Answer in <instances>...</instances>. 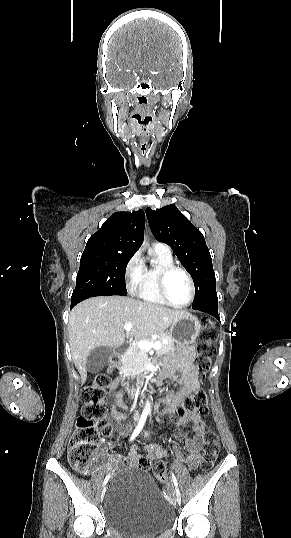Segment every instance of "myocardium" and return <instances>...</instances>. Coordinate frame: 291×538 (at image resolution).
<instances>
[{"instance_id":"obj_1","label":"myocardium","mask_w":291,"mask_h":538,"mask_svg":"<svg viewBox=\"0 0 291 538\" xmlns=\"http://www.w3.org/2000/svg\"><path fill=\"white\" fill-rule=\"evenodd\" d=\"M175 271H179V272H181V273H183L185 275V277L188 280L189 287H190L189 298L185 303H182V304L175 303L174 301H172L170 299L169 295H168V292H167V279H168L169 275L172 274ZM157 284H158V291H159L160 296L163 298V300L168 305H171V306L177 307V308H185V307L189 306L194 300V297H195V284H194L193 278L190 275V273L185 268H183L181 266H177V265L173 264V265H170V266L163 267L158 273Z\"/></svg>"}]
</instances>
